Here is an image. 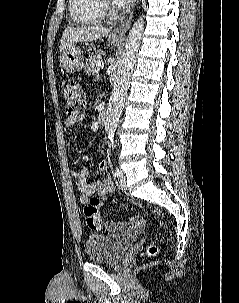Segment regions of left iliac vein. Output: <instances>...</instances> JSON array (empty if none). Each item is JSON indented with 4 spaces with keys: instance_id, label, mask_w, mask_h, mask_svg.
Segmentation results:
<instances>
[{
    "instance_id": "obj_1",
    "label": "left iliac vein",
    "mask_w": 239,
    "mask_h": 303,
    "mask_svg": "<svg viewBox=\"0 0 239 303\" xmlns=\"http://www.w3.org/2000/svg\"><path fill=\"white\" fill-rule=\"evenodd\" d=\"M118 179H119V184L122 188L126 189V175L125 172L122 169H118Z\"/></svg>"
}]
</instances>
